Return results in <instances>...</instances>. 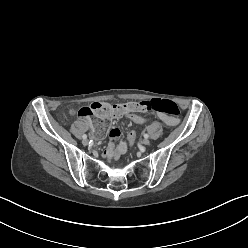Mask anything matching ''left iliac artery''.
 <instances>
[{"label":"left iliac artery","mask_w":248,"mask_h":248,"mask_svg":"<svg viewBox=\"0 0 248 248\" xmlns=\"http://www.w3.org/2000/svg\"><path fill=\"white\" fill-rule=\"evenodd\" d=\"M144 137H145V138H148V137H149V135H148V134H144Z\"/></svg>","instance_id":"44dca946"}]
</instances>
